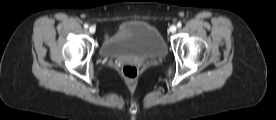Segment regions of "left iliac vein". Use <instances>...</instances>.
I'll use <instances>...</instances> for the list:
<instances>
[{"instance_id":"obj_1","label":"left iliac vein","mask_w":276,"mask_h":120,"mask_svg":"<svg viewBox=\"0 0 276 120\" xmlns=\"http://www.w3.org/2000/svg\"><path fill=\"white\" fill-rule=\"evenodd\" d=\"M169 30L171 33H174V32H176L177 28L175 25H172Z\"/></svg>"}]
</instances>
